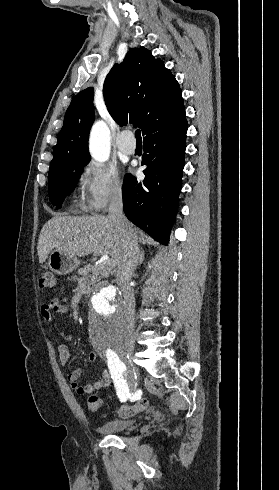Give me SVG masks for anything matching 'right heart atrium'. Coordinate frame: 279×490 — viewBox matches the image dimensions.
I'll use <instances>...</instances> for the list:
<instances>
[{
	"label": "right heart atrium",
	"mask_w": 279,
	"mask_h": 490,
	"mask_svg": "<svg viewBox=\"0 0 279 490\" xmlns=\"http://www.w3.org/2000/svg\"><path fill=\"white\" fill-rule=\"evenodd\" d=\"M83 191L84 209L89 215L103 213L112 201L122 198L124 183L116 168L90 162L79 176Z\"/></svg>",
	"instance_id": "right-heart-atrium-1"
}]
</instances>
